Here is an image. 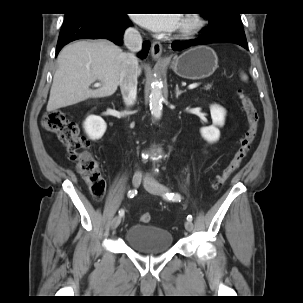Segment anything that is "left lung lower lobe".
Instances as JSON below:
<instances>
[{
	"mask_svg": "<svg viewBox=\"0 0 303 303\" xmlns=\"http://www.w3.org/2000/svg\"><path fill=\"white\" fill-rule=\"evenodd\" d=\"M203 34L201 37L189 40L185 42H173L172 48L175 51H180L190 46L196 45H204L210 43H221V42H231L238 44L245 49H248L246 36L244 32H215V33H204L203 30L201 31Z\"/></svg>",
	"mask_w": 303,
	"mask_h": 303,
	"instance_id": "obj_1",
	"label": "left lung lower lobe"
}]
</instances>
